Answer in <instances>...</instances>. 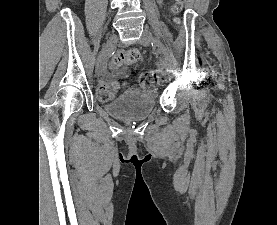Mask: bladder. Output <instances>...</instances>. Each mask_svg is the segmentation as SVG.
I'll return each instance as SVG.
<instances>
[{"mask_svg": "<svg viewBox=\"0 0 277 225\" xmlns=\"http://www.w3.org/2000/svg\"><path fill=\"white\" fill-rule=\"evenodd\" d=\"M157 93L142 89L128 90L105 104L111 115L123 120H142L156 108Z\"/></svg>", "mask_w": 277, "mask_h": 225, "instance_id": "31cf9c89", "label": "bladder"}]
</instances>
